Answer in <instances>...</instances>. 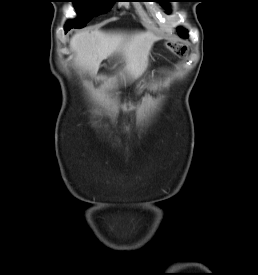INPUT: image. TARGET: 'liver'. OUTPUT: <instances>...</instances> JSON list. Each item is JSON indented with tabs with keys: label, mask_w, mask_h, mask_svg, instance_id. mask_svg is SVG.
<instances>
[{
	"label": "liver",
	"mask_w": 258,
	"mask_h": 275,
	"mask_svg": "<svg viewBox=\"0 0 258 275\" xmlns=\"http://www.w3.org/2000/svg\"><path fill=\"white\" fill-rule=\"evenodd\" d=\"M159 38L150 31L131 34L122 32H104L101 30L81 31L74 34L70 49L75 53L76 63L94 74L100 63L107 58L117 56L124 62L121 78L130 79L140 76L147 66L148 55ZM116 82V78H110Z\"/></svg>",
	"instance_id": "1"
}]
</instances>
